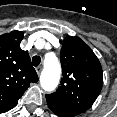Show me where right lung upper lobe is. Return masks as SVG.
<instances>
[{
    "instance_id": "1",
    "label": "right lung upper lobe",
    "mask_w": 117,
    "mask_h": 117,
    "mask_svg": "<svg viewBox=\"0 0 117 117\" xmlns=\"http://www.w3.org/2000/svg\"><path fill=\"white\" fill-rule=\"evenodd\" d=\"M23 32L0 36V113L14 108L30 83L38 81L29 54L21 50Z\"/></svg>"
}]
</instances>
